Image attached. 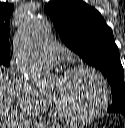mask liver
<instances>
[{"instance_id":"liver-1","label":"liver","mask_w":125,"mask_h":128,"mask_svg":"<svg viewBox=\"0 0 125 128\" xmlns=\"http://www.w3.org/2000/svg\"><path fill=\"white\" fill-rule=\"evenodd\" d=\"M27 126L12 108L11 85L4 78L0 69V128H16ZM54 128V126H53Z\"/></svg>"}]
</instances>
